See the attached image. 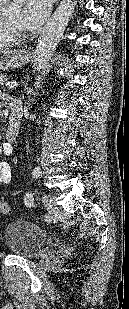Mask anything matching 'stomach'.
<instances>
[{
	"instance_id": "stomach-1",
	"label": "stomach",
	"mask_w": 129,
	"mask_h": 309,
	"mask_svg": "<svg viewBox=\"0 0 129 309\" xmlns=\"http://www.w3.org/2000/svg\"><path fill=\"white\" fill-rule=\"evenodd\" d=\"M29 60L30 56L24 49L0 48V70L21 67Z\"/></svg>"
}]
</instances>
